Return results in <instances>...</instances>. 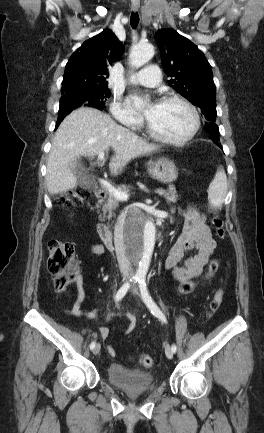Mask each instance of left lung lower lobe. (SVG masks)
<instances>
[{
  "mask_svg": "<svg viewBox=\"0 0 264 433\" xmlns=\"http://www.w3.org/2000/svg\"><path fill=\"white\" fill-rule=\"evenodd\" d=\"M215 143H218V141H214ZM218 146L220 147V148H222V146L220 145V144H218Z\"/></svg>",
  "mask_w": 264,
  "mask_h": 433,
  "instance_id": "left-lung-lower-lobe-1",
  "label": "left lung lower lobe"
}]
</instances>
